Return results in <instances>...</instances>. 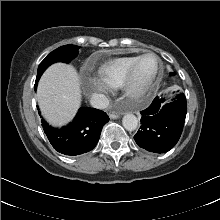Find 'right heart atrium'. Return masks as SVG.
<instances>
[{
  "label": "right heart atrium",
  "instance_id": "d8ad5b80",
  "mask_svg": "<svg viewBox=\"0 0 220 220\" xmlns=\"http://www.w3.org/2000/svg\"><path fill=\"white\" fill-rule=\"evenodd\" d=\"M85 90L94 100L104 102L112 92V87L99 77H91L85 82Z\"/></svg>",
  "mask_w": 220,
  "mask_h": 220
}]
</instances>
